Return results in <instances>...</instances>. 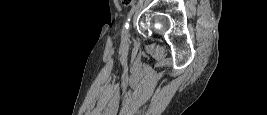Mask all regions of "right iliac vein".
Here are the masks:
<instances>
[{"instance_id":"obj_1","label":"right iliac vein","mask_w":267,"mask_h":115,"mask_svg":"<svg viewBox=\"0 0 267 115\" xmlns=\"http://www.w3.org/2000/svg\"><path fill=\"white\" fill-rule=\"evenodd\" d=\"M126 40L129 38V30H127L126 34H125V37H124Z\"/></svg>"}]
</instances>
